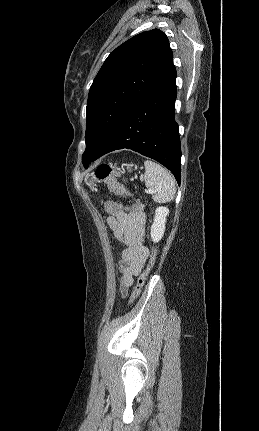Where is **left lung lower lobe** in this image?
<instances>
[{"label": "left lung lower lobe", "instance_id": "0a47b994", "mask_svg": "<svg viewBox=\"0 0 259 431\" xmlns=\"http://www.w3.org/2000/svg\"><path fill=\"white\" fill-rule=\"evenodd\" d=\"M176 69L173 65L157 85L118 122L92 161L118 149H131L150 157L175 176L180 184L181 148L174 120Z\"/></svg>", "mask_w": 259, "mask_h": 431}]
</instances>
